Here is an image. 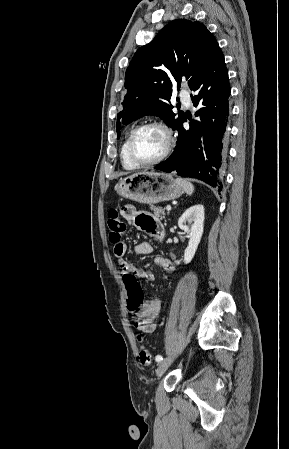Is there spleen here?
I'll list each match as a JSON object with an SVG mask.
<instances>
[{"label":"spleen","mask_w":289,"mask_h":449,"mask_svg":"<svg viewBox=\"0 0 289 449\" xmlns=\"http://www.w3.org/2000/svg\"><path fill=\"white\" fill-rule=\"evenodd\" d=\"M176 182L183 188V190L188 194V195H192L194 192V186L192 183H190L189 181L182 179V178H177Z\"/></svg>","instance_id":"spleen-1"}]
</instances>
